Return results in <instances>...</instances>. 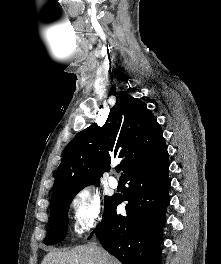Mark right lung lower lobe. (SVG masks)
<instances>
[{"instance_id":"right-lung-lower-lobe-1","label":"right lung lower lobe","mask_w":221,"mask_h":264,"mask_svg":"<svg viewBox=\"0 0 221 264\" xmlns=\"http://www.w3.org/2000/svg\"><path fill=\"white\" fill-rule=\"evenodd\" d=\"M168 173L167 152L153 163L128 172L124 176L129 182L126 193L114 196L94 230L102 246L122 264H160L162 227L170 201ZM122 201H128L126 215L116 212Z\"/></svg>"}]
</instances>
